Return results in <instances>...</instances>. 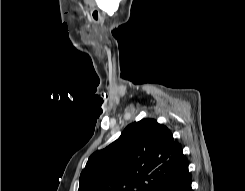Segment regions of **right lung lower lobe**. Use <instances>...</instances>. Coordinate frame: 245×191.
I'll return each mask as SVG.
<instances>
[{"mask_svg": "<svg viewBox=\"0 0 245 191\" xmlns=\"http://www.w3.org/2000/svg\"><path fill=\"white\" fill-rule=\"evenodd\" d=\"M157 191H193L188 168L174 179L161 185Z\"/></svg>", "mask_w": 245, "mask_h": 191, "instance_id": "right-lung-lower-lobe-1", "label": "right lung lower lobe"}]
</instances>
